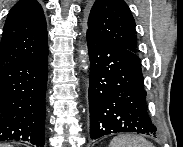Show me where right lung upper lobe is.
I'll list each match as a JSON object with an SVG mask.
<instances>
[{
	"instance_id": "obj_1",
	"label": "right lung upper lobe",
	"mask_w": 183,
	"mask_h": 147,
	"mask_svg": "<svg viewBox=\"0 0 183 147\" xmlns=\"http://www.w3.org/2000/svg\"><path fill=\"white\" fill-rule=\"evenodd\" d=\"M47 49V25L41 5L36 0H20L5 21L0 69L28 61Z\"/></svg>"
}]
</instances>
